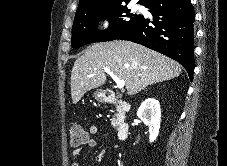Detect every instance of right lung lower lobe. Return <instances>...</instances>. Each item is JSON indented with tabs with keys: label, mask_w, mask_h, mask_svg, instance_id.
<instances>
[{
	"label": "right lung lower lobe",
	"mask_w": 227,
	"mask_h": 166,
	"mask_svg": "<svg viewBox=\"0 0 227 166\" xmlns=\"http://www.w3.org/2000/svg\"><path fill=\"white\" fill-rule=\"evenodd\" d=\"M144 6L149 8L153 21L142 16L117 39L144 45L178 61L192 80L195 14L191 1L149 0Z\"/></svg>",
	"instance_id": "1"
}]
</instances>
